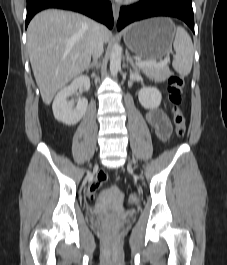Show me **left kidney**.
Segmentation results:
<instances>
[{"mask_svg": "<svg viewBox=\"0 0 227 265\" xmlns=\"http://www.w3.org/2000/svg\"><path fill=\"white\" fill-rule=\"evenodd\" d=\"M138 99L144 108L153 110L159 107L162 95L155 87H144L139 91Z\"/></svg>", "mask_w": 227, "mask_h": 265, "instance_id": "obj_1", "label": "left kidney"}]
</instances>
